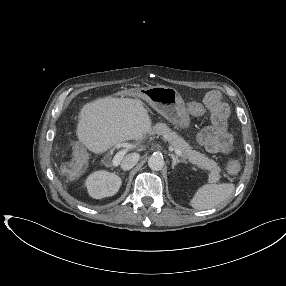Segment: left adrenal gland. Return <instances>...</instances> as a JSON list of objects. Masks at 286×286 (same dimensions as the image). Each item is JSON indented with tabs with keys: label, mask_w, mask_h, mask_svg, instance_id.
<instances>
[{
	"label": "left adrenal gland",
	"mask_w": 286,
	"mask_h": 286,
	"mask_svg": "<svg viewBox=\"0 0 286 286\" xmlns=\"http://www.w3.org/2000/svg\"><path fill=\"white\" fill-rule=\"evenodd\" d=\"M169 156L172 158V169L175 168V166L178 164V163H186L185 160L183 159H179L176 155L174 154H169Z\"/></svg>",
	"instance_id": "obj_1"
}]
</instances>
